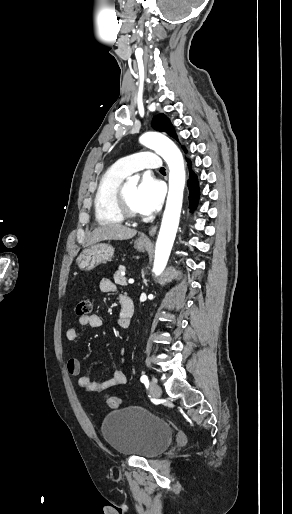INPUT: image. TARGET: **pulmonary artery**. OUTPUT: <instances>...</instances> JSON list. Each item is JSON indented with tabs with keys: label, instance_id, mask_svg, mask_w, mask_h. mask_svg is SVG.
I'll list each match as a JSON object with an SVG mask.
<instances>
[{
	"label": "pulmonary artery",
	"instance_id": "obj_1",
	"mask_svg": "<svg viewBox=\"0 0 292 514\" xmlns=\"http://www.w3.org/2000/svg\"><path fill=\"white\" fill-rule=\"evenodd\" d=\"M161 168L160 159L153 151H133L129 156H119L113 163V170L128 177L133 172H158Z\"/></svg>",
	"mask_w": 292,
	"mask_h": 514
}]
</instances>
